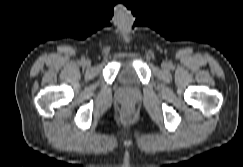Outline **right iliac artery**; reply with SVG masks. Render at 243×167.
I'll return each mask as SVG.
<instances>
[{
    "label": "right iliac artery",
    "instance_id": "right-iliac-artery-1",
    "mask_svg": "<svg viewBox=\"0 0 243 167\" xmlns=\"http://www.w3.org/2000/svg\"><path fill=\"white\" fill-rule=\"evenodd\" d=\"M83 62H84V61H83V60H81V63H82V64H83Z\"/></svg>",
    "mask_w": 243,
    "mask_h": 167
}]
</instances>
